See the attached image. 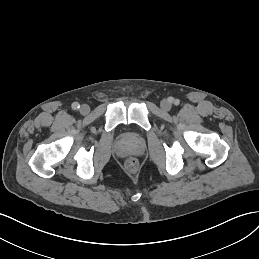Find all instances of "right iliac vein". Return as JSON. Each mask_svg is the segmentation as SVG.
<instances>
[{
  "label": "right iliac vein",
  "instance_id": "right-iliac-vein-1",
  "mask_svg": "<svg viewBox=\"0 0 259 259\" xmlns=\"http://www.w3.org/2000/svg\"><path fill=\"white\" fill-rule=\"evenodd\" d=\"M90 112V107L87 104H83L80 108V113L82 115H87Z\"/></svg>",
  "mask_w": 259,
  "mask_h": 259
}]
</instances>
